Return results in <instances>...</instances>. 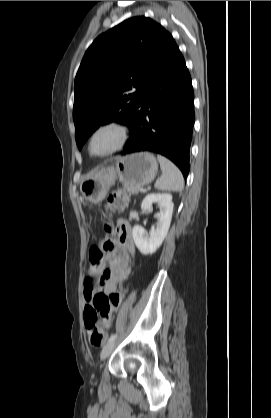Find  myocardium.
<instances>
[{"instance_id": "1", "label": "myocardium", "mask_w": 271, "mask_h": 418, "mask_svg": "<svg viewBox=\"0 0 271 418\" xmlns=\"http://www.w3.org/2000/svg\"><path fill=\"white\" fill-rule=\"evenodd\" d=\"M105 131H113L117 134L116 142L107 150L103 152H94L93 150V142L95 138L102 132ZM129 138V131L125 124L120 121H107L103 122L90 132L87 138V151L88 154L95 158H104L110 155H113L119 151H121L124 146L126 145Z\"/></svg>"}]
</instances>
